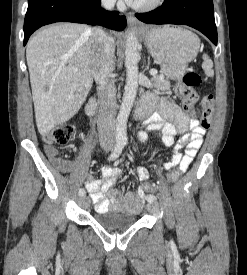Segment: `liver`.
<instances>
[{
	"instance_id": "1",
	"label": "liver",
	"mask_w": 247,
	"mask_h": 275,
	"mask_svg": "<svg viewBox=\"0 0 247 275\" xmlns=\"http://www.w3.org/2000/svg\"><path fill=\"white\" fill-rule=\"evenodd\" d=\"M90 36L91 29L84 24L57 23L40 30L27 44L35 118L42 136L71 119L92 87Z\"/></svg>"
}]
</instances>
